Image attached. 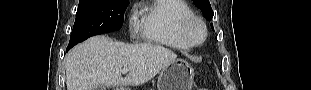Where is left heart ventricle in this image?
Returning a JSON list of instances; mask_svg holds the SVG:
<instances>
[{
	"instance_id": "1",
	"label": "left heart ventricle",
	"mask_w": 311,
	"mask_h": 90,
	"mask_svg": "<svg viewBox=\"0 0 311 90\" xmlns=\"http://www.w3.org/2000/svg\"><path fill=\"white\" fill-rule=\"evenodd\" d=\"M193 36L196 38V39H199L200 36H201V30L200 28L196 27L193 29Z\"/></svg>"
}]
</instances>
